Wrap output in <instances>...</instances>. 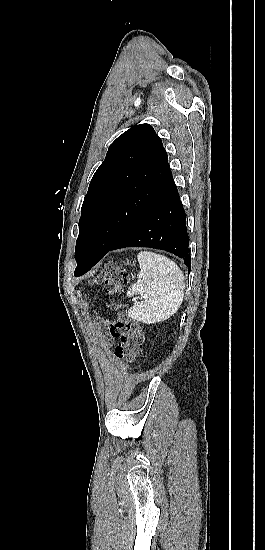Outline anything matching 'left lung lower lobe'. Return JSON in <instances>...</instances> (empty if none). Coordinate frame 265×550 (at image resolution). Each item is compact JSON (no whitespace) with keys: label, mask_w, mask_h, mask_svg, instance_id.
Wrapping results in <instances>:
<instances>
[{"label":"left lung lower lobe","mask_w":265,"mask_h":550,"mask_svg":"<svg viewBox=\"0 0 265 550\" xmlns=\"http://www.w3.org/2000/svg\"><path fill=\"white\" fill-rule=\"evenodd\" d=\"M186 214L175 182L106 251H90L75 270V276L88 272L109 251L124 247H150L177 255L190 270Z\"/></svg>","instance_id":"left-lung-lower-lobe-1"}]
</instances>
